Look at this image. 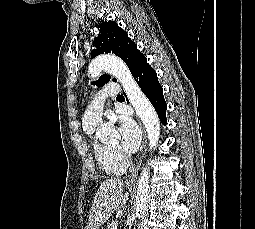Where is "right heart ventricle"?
<instances>
[{"label":"right heart ventricle","instance_id":"1","mask_svg":"<svg viewBox=\"0 0 255 229\" xmlns=\"http://www.w3.org/2000/svg\"><path fill=\"white\" fill-rule=\"evenodd\" d=\"M96 127L97 125L84 124V131L90 139L91 149L99 168L108 175H122L126 171L128 163L95 138Z\"/></svg>","mask_w":255,"mask_h":229}]
</instances>
